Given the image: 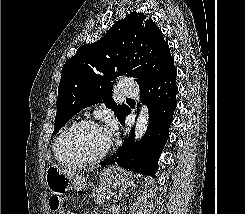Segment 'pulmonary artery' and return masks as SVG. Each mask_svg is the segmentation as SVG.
I'll use <instances>...</instances> for the list:
<instances>
[{"label":"pulmonary artery","instance_id":"obj_1","mask_svg":"<svg viewBox=\"0 0 245 214\" xmlns=\"http://www.w3.org/2000/svg\"><path fill=\"white\" fill-rule=\"evenodd\" d=\"M119 86L125 96L137 97L139 94V85L136 81L130 79L120 80Z\"/></svg>","mask_w":245,"mask_h":214}]
</instances>
